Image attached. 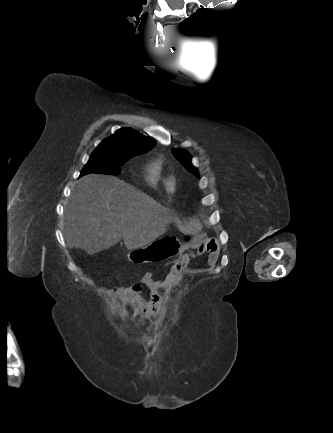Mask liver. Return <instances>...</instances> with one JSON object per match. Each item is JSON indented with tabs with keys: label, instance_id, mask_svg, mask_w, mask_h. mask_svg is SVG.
Masks as SVG:
<instances>
[{
	"label": "liver",
	"instance_id": "liver-1",
	"mask_svg": "<svg viewBox=\"0 0 333 433\" xmlns=\"http://www.w3.org/2000/svg\"><path fill=\"white\" fill-rule=\"evenodd\" d=\"M167 210L147 194L114 177L89 174L75 182L65 211L70 248L93 255L121 239L129 250L149 245L165 234Z\"/></svg>",
	"mask_w": 333,
	"mask_h": 433
}]
</instances>
